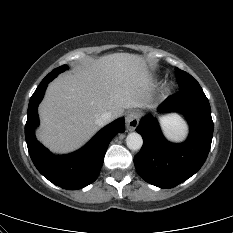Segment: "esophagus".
Returning a JSON list of instances; mask_svg holds the SVG:
<instances>
[{"label":"esophagus","mask_w":233,"mask_h":233,"mask_svg":"<svg viewBox=\"0 0 233 233\" xmlns=\"http://www.w3.org/2000/svg\"><path fill=\"white\" fill-rule=\"evenodd\" d=\"M139 124V116L136 112L128 113L126 117V127L129 131H133Z\"/></svg>","instance_id":"34e87169"}]
</instances>
